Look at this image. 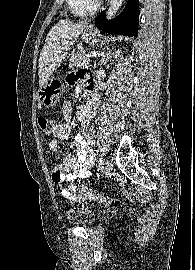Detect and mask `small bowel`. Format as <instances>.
I'll list each match as a JSON object with an SVG mask.
<instances>
[{"label": "small bowel", "mask_w": 195, "mask_h": 270, "mask_svg": "<svg viewBox=\"0 0 195 270\" xmlns=\"http://www.w3.org/2000/svg\"><path fill=\"white\" fill-rule=\"evenodd\" d=\"M80 80H86L88 85L93 84V75L90 72H80L69 74L67 77L69 84H74ZM97 101V96L93 93L90 101L76 109V118L80 124L81 132L75 136V140L71 144L74 152L66 155L52 169V180L57 185L59 194L73 202L83 199L77 193L75 183L82 179L93 177L91 168L95 162V155L92 150L94 142L92 122L95 116ZM62 115L63 121L56 124L51 133L54 138L49 142V149L54 153L58 151L59 142L66 140L70 135L73 115V107L70 101L64 102ZM65 184H69L68 188L65 187Z\"/></svg>", "instance_id": "small-bowel-1"}]
</instances>
